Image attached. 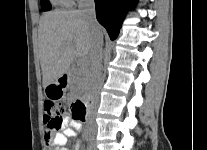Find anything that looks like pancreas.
Listing matches in <instances>:
<instances>
[{
	"label": "pancreas",
	"mask_w": 207,
	"mask_h": 150,
	"mask_svg": "<svg viewBox=\"0 0 207 150\" xmlns=\"http://www.w3.org/2000/svg\"><path fill=\"white\" fill-rule=\"evenodd\" d=\"M87 65V63L79 65V68L74 70L75 76L71 79V93H79L88 88L91 77Z\"/></svg>",
	"instance_id": "obj_1"
}]
</instances>
